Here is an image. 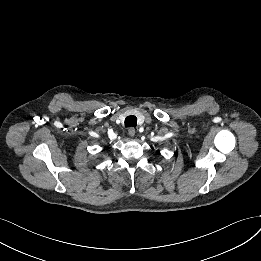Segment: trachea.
I'll use <instances>...</instances> for the list:
<instances>
[{
	"instance_id": "1",
	"label": "trachea",
	"mask_w": 261,
	"mask_h": 261,
	"mask_svg": "<svg viewBox=\"0 0 261 261\" xmlns=\"http://www.w3.org/2000/svg\"><path fill=\"white\" fill-rule=\"evenodd\" d=\"M137 125V118L136 116L130 115L127 116L125 119V126L126 127H136Z\"/></svg>"
}]
</instances>
